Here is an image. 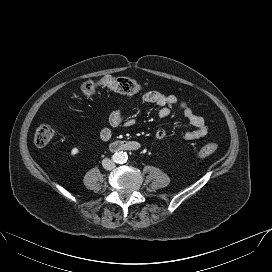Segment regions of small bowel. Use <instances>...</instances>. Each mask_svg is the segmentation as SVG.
Listing matches in <instances>:
<instances>
[{
	"mask_svg": "<svg viewBox=\"0 0 272 272\" xmlns=\"http://www.w3.org/2000/svg\"><path fill=\"white\" fill-rule=\"evenodd\" d=\"M142 100L145 103L155 104L160 107L158 116L161 119L169 117L173 109L179 110L183 116L193 126V129H187L184 132V137L187 140H198L205 137L209 132V126L205 119L194 113L187 102L174 95H166L158 91H147L142 95ZM135 124V119L128 117L127 112L123 109H115L111 112L108 118V123L100 131V138L103 141H109L112 137L113 129L124 125L132 126ZM166 137V130L159 127L155 131V138L159 141Z\"/></svg>",
	"mask_w": 272,
	"mask_h": 272,
	"instance_id": "c3829d8e",
	"label": "small bowel"
}]
</instances>
